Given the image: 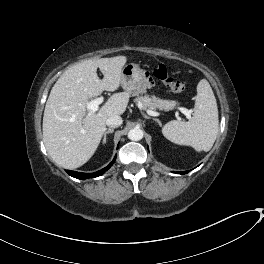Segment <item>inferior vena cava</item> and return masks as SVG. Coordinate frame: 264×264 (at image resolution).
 Instances as JSON below:
<instances>
[{"mask_svg":"<svg viewBox=\"0 0 264 264\" xmlns=\"http://www.w3.org/2000/svg\"><path fill=\"white\" fill-rule=\"evenodd\" d=\"M123 120L119 115H113L107 118L106 125L111 128L118 127L122 124Z\"/></svg>","mask_w":264,"mask_h":264,"instance_id":"1","label":"inferior vena cava"}]
</instances>
